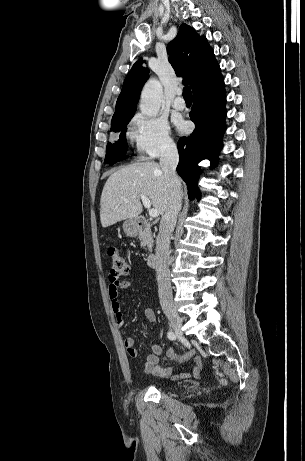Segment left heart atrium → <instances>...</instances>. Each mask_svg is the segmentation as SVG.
Masks as SVG:
<instances>
[{
	"mask_svg": "<svg viewBox=\"0 0 305 461\" xmlns=\"http://www.w3.org/2000/svg\"><path fill=\"white\" fill-rule=\"evenodd\" d=\"M179 127H180V128H183V127H184V125H183L182 123H180V124H179Z\"/></svg>",
	"mask_w": 305,
	"mask_h": 461,
	"instance_id": "left-heart-atrium-1",
	"label": "left heart atrium"
}]
</instances>
